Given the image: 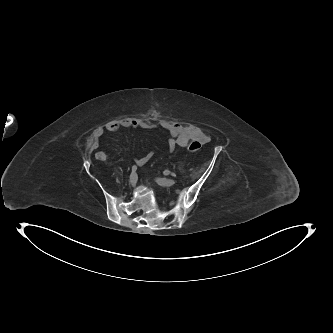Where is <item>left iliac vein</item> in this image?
I'll use <instances>...</instances> for the list:
<instances>
[{"label":"left iliac vein","instance_id":"4c4485c4","mask_svg":"<svg viewBox=\"0 0 333 333\" xmlns=\"http://www.w3.org/2000/svg\"><path fill=\"white\" fill-rule=\"evenodd\" d=\"M175 182H176L175 179H164V178L157 179V183L163 187L172 186Z\"/></svg>","mask_w":333,"mask_h":333}]
</instances>
